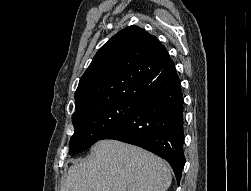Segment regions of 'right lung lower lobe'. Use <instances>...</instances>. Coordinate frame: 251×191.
I'll return each instance as SVG.
<instances>
[{"mask_svg": "<svg viewBox=\"0 0 251 191\" xmlns=\"http://www.w3.org/2000/svg\"><path fill=\"white\" fill-rule=\"evenodd\" d=\"M180 79L140 103L127 119L102 139L140 146L166 159L179 184L185 164L184 116Z\"/></svg>", "mask_w": 251, "mask_h": 191, "instance_id": "98d812e1", "label": "right lung lower lobe"}]
</instances>
